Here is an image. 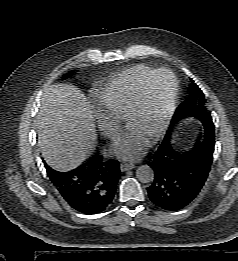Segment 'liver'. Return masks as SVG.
<instances>
[{
    "label": "liver",
    "mask_w": 238,
    "mask_h": 261,
    "mask_svg": "<svg viewBox=\"0 0 238 261\" xmlns=\"http://www.w3.org/2000/svg\"><path fill=\"white\" fill-rule=\"evenodd\" d=\"M36 124L42 155L58 170L77 167L96 146V126L90 103L73 85L55 84L48 88Z\"/></svg>",
    "instance_id": "6515ba94"
}]
</instances>
